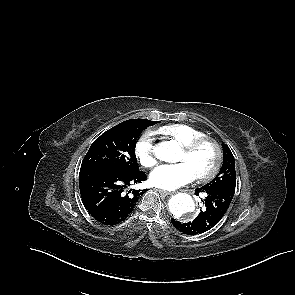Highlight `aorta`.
I'll return each instance as SVG.
<instances>
[{
  "label": "aorta",
  "mask_w": 295,
  "mask_h": 295,
  "mask_svg": "<svg viewBox=\"0 0 295 295\" xmlns=\"http://www.w3.org/2000/svg\"><path fill=\"white\" fill-rule=\"evenodd\" d=\"M181 148L175 140L161 142L155 149L156 157L165 162H175ZM170 213L176 219L187 218L195 210L193 198L187 193H178L169 199Z\"/></svg>",
  "instance_id": "762f6f07"
}]
</instances>
